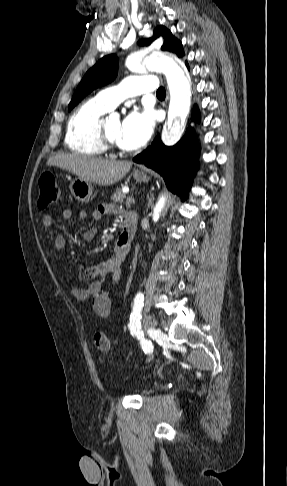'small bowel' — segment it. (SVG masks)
Segmentation results:
<instances>
[{"mask_svg": "<svg viewBox=\"0 0 287 486\" xmlns=\"http://www.w3.org/2000/svg\"><path fill=\"white\" fill-rule=\"evenodd\" d=\"M120 210L113 204H100L91 214L94 220H100L105 215L117 214ZM62 217L66 220L83 221L87 218L85 210L72 211L66 209L62 212ZM42 224L46 229H51L54 225V219L51 215L46 214L42 218ZM96 229L90 228L83 232V239L91 241L96 236ZM67 244V237L64 234H58L54 240V248L56 251L62 253ZM129 248L120 251L117 246L110 258L99 264L87 266L81 271V278L89 281L87 287L71 286V294L80 301L88 299L92 300L93 309L96 314L102 318H106L111 313V291L104 289V284L107 278H111L113 284L117 283L121 274V266L125 261Z\"/></svg>", "mask_w": 287, "mask_h": 486, "instance_id": "c3829d8e", "label": "small bowel"}]
</instances>
